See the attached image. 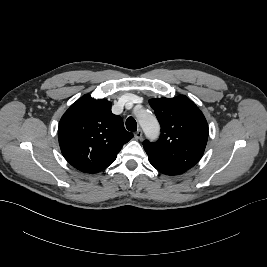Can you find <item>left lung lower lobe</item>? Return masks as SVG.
I'll return each instance as SVG.
<instances>
[{"label": "left lung lower lobe", "mask_w": 267, "mask_h": 267, "mask_svg": "<svg viewBox=\"0 0 267 267\" xmlns=\"http://www.w3.org/2000/svg\"><path fill=\"white\" fill-rule=\"evenodd\" d=\"M159 172L167 175H178L181 173H184L186 170L182 169H176V168H167V167H159V166H154Z\"/></svg>", "instance_id": "0a47b994"}]
</instances>
